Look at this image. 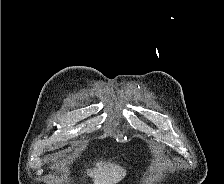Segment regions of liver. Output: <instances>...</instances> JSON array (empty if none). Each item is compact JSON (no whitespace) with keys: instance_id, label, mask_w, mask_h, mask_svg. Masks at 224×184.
Returning a JSON list of instances; mask_svg holds the SVG:
<instances>
[{"instance_id":"1","label":"liver","mask_w":224,"mask_h":184,"mask_svg":"<svg viewBox=\"0 0 224 184\" xmlns=\"http://www.w3.org/2000/svg\"><path fill=\"white\" fill-rule=\"evenodd\" d=\"M87 174L94 184H116L125 177L126 170L114 163L98 162L94 169L87 170Z\"/></svg>"}]
</instances>
